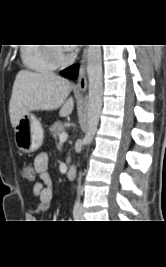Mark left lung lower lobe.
I'll use <instances>...</instances> for the list:
<instances>
[{
  "mask_svg": "<svg viewBox=\"0 0 166 267\" xmlns=\"http://www.w3.org/2000/svg\"><path fill=\"white\" fill-rule=\"evenodd\" d=\"M78 65H73L61 71V75L67 78L74 79L77 77Z\"/></svg>",
  "mask_w": 166,
  "mask_h": 267,
  "instance_id": "0a47b994",
  "label": "left lung lower lobe"
}]
</instances>
